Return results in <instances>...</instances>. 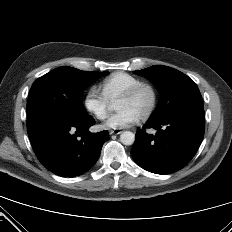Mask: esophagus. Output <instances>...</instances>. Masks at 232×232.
<instances>
[{
	"instance_id": "34e87169",
	"label": "esophagus",
	"mask_w": 232,
	"mask_h": 232,
	"mask_svg": "<svg viewBox=\"0 0 232 232\" xmlns=\"http://www.w3.org/2000/svg\"><path fill=\"white\" fill-rule=\"evenodd\" d=\"M121 132H122V131H121L120 129H113V130H110V131H109L110 135H112V134L118 135V134H120Z\"/></svg>"
}]
</instances>
